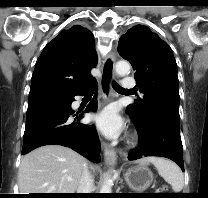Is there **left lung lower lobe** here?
<instances>
[{"label": "left lung lower lobe", "instance_id": "1", "mask_svg": "<svg viewBox=\"0 0 208 198\" xmlns=\"http://www.w3.org/2000/svg\"><path fill=\"white\" fill-rule=\"evenodd\" d=\"M139 146L128 155V160H136L143 156L166 157L176 162L182 171L183 147L179 122L162 113H152L137 126Z\"/></svg>", "mask_w": 208, "mask_h": 198}]
</instances>
